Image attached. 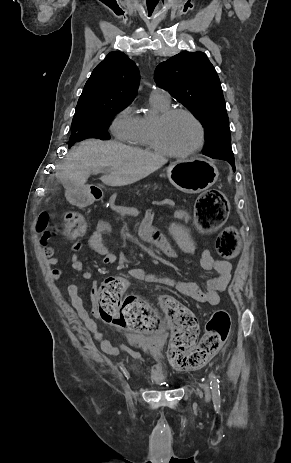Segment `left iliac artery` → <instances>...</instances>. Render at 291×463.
I'll use <instances>...</instances> for the list:
<instances>
[{
	"mask_svg": "<svg viewBox=\"0 0 291 463\" xmlns=\"http://www.w3.org/2000/svg\"><path fill=\"white\" fill-rule=\"evenodd\" d=\"M210 385H211V389H212V394H213V400L215 403H220V385H219V379L217 376H215L214 374H210Z\"/></svg>",
	"mask_w": 291,
	"mask_h": 463,
	"instance_id": "left-iliac-artery-1",
	"label": "left iliac artery"
}]
</instances>
